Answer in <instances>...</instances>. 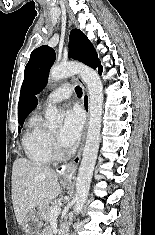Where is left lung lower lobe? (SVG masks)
Masks as SVG:
<instances>
[{
    "label": "left lung lower lobe",
    "instance_id": "0a47b994",
    "mask_svg": "<svg viewBox=\"0 0 155 235\" xmlns=\"http://www.w3.org/2000/svg\"><path fill=\"white\" fill-rule=\"evenodd\" d=\"M102 68H100L99 70H98V72H99V74L101 75L102 74Z\"/></svg>",
    "mask_w": 155,
    "mask_h": 235
}]
</instances>
